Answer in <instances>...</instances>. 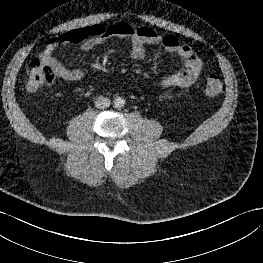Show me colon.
<instances>
[{"mask_svg":"<svg viewBox=\"0 0 263 263\" xmlns=\"http://www.w3.org/2000/svg\"><path fill=\"white\" fill-rule=\"evenodd\" d=\"M55 74L53 70L39 60L31 61L27 66L25 88L28 92L34 93L42 87L53 83ZM223 90L221 80L210 75L205 82V93L209 96H216Z\"/></svg>","mask_w":263,"mask_h":263,"instance_id":"obj_1","label":"colon"}]
</instances>
